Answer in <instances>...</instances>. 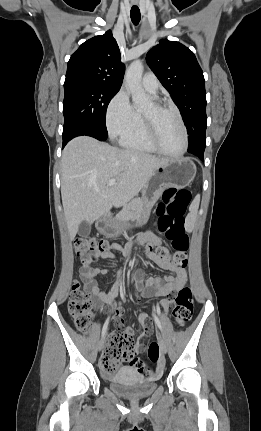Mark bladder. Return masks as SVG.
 <instances>
[{"mask_svg": "<svg viewBox=\"0 0 261 431\" xmlns=\"http://www.w3.org/2000/svg\"><path fill=\"white\" fill-rule=\"evenodd\" d=\"M110 389L125 398H143L157 388L155 379L142 378L130 367H124L108 378Z\"/></svg>", "mask_w": 261, "mask_h": 431, "instance_id": "31cf9c89", "label": "bladder"}]
</instances>
